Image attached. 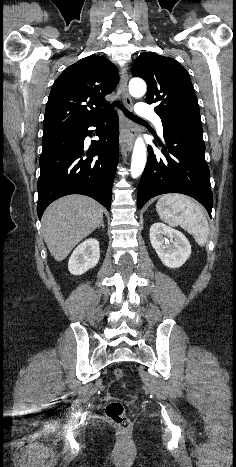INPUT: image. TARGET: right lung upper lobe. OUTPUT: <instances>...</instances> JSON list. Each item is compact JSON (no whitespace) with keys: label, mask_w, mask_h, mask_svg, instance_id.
<instances>
[{"label":"right lung upper lobe","mask_w":236,"mask_h":467,"mask_svg":"<svg viewBox=\"0 0 236 467\" xmlns=\"http://www.w3.org/2000/svg\"><path fill=\"white\" fill-rule=\"evenodd\" d=\"M118 81L116 66L102 56L91 55L66 68L51 88L43 134L86 125L108 112L105 96Z\"/></svg>","instance_id":"1"}]
</instances>
